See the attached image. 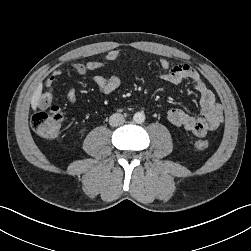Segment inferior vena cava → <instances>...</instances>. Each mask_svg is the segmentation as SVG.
I'll use <instances>...</instances> for the list:
<instances>
[{
    "label": "inferior vena cava",
    "instance_id": "inferior-vena-cava-1",
    "mask_svg": "<svg viewBox=\"0 0 251 251\" xmlns=\"http://www.w3.org/2000/svg\"><path fill=\"white\" fill-rule=\"evenodd\" d=\"M124 122H125V119H124L123 115L120 113L112 114L109 118V124L112 127H117V126L123 124Z\"/></svg>",
    "mask_w": 251,
    "mask_h": 251
}]
</instances>
